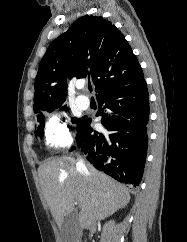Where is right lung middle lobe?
I'll use <instances>...</instances> for the list:
<instances>
[{"mask_svg": "<svg viewBox=\"0 0 187 242\" xmlns=\"http://www.w3.org/2000/svg\"><path fill=\"white\" fill-rule=\"evenodd\" d=\"M63 109L66 111L67 110V107H63ZM54 109H51L49 111H46V112H52ZM38 121L40 122V124L37 126V130L35 131V134L36 135H39L40 137L43 136V127L45 125V121H44V114L41 113L38 115ZM80 119H77V118H72V122L73 123H80Z\"/></svg>", "mask_w": 187, "mask_h": 242, "instance_id": "obj_1", "label": "right lung middle lobe"}]
</instances>
